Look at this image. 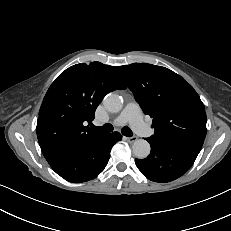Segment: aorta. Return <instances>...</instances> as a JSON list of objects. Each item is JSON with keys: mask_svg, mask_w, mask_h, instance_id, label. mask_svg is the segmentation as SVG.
Returning <instances> with one entry per match:
<instances>
[{"mask_svg": "<svg viewBox=\"0 0 231 231\" xmlns=\"http://www.w3.org/2000/svg\"><path fill=\"white\" fill-rule=\"evenodd\" d=\"M103 104L108 111L116 113L121 111L123 107V100L119 95L109 93L104 97ZM132 151L136 158L144 159L150 154L151 147L146 140L138 139L133 143Z\"/></svg>", "mask_w": 231, "mask_h": 231, "instance_id": "aorta-1", "label": "aorta"}]
</instances>
